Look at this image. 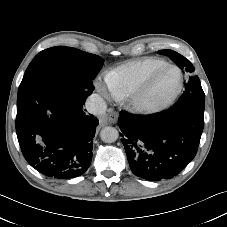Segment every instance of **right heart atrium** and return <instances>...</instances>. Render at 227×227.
I'll return each instance as SVG.
<instances>
[{"label": "right heart atrium", "mask_w": 227, "mask_h": 227, "mask_svg": "<svg viewBox=\"0 0 227 227\" xmlns=\"http://www.w3.org/2000/svg\"><path fill=\"white\" fill-rule=\"evenodd\" d=\"M101 90H102L103 92H105V90H104L103 88H101Z\"/></svg>", "instance_id": "1"}]
</instances>
